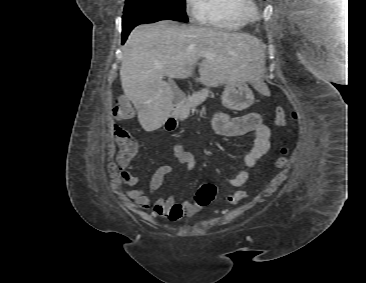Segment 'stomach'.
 <instances>
[{
	"label": "stomach",
	"instance_id": "stomach-1",
	"mask_svg": "<svg viewBox=\"0 0 366 283\" xmlns=\"http://www.w3.org/2000/svg\"><path fill=\"white\" fill-rule=\"evenodd\" d=\"M238 95H245L247 102L243 106H249L253 102V94L245 79H234L225 84V91L222 96V103L229 109L238 108L235 99Z\"/></svg>",
	"mask_w": 366,
	"mask_h": 283
}]
</instances>
